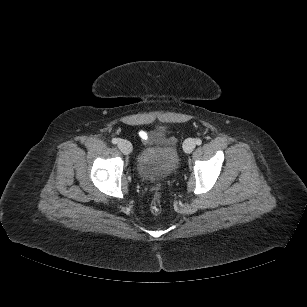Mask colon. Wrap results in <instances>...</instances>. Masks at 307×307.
Wrapping results in <instances>:
<instances>
[{
	"label": "colon",
	"instance_id": "colon-1",
	"mask_svg": "<svg viewBox=\"0 0 307 307\" xmlns=\"http://www.w3.org/2000/svg\"><path fill=\"white\" fill-rule=\"evenodd\" d=\"M151 211L154 214H158L161 211L160 196L158 194L155 195L151 203Z\"/></svg>",
	"mask_w": 307,
	"mask_h": 307
}]
</instances>
